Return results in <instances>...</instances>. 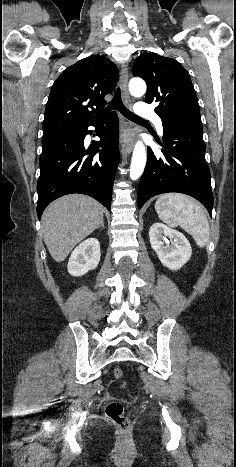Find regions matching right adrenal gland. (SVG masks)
Returning <instances> with one entry per match:
<instances>
[{
	"label": "right adrenal gland",
	"instance_id": "right-adrenal-gland-1",
	"mask_svg": "<svg viewBox=\"0 0 236 467\" xmlns=\"http://www.w3.org/2000/svg\"><path fill=\"white\" fill-rule=\"evenodd\" d=\"M102 227L103 229H105V226H104V222L102 221L99 228Z\"/></svg>",
	"mask_w": 236,
	"mask_h": 467
}]
</instances>
